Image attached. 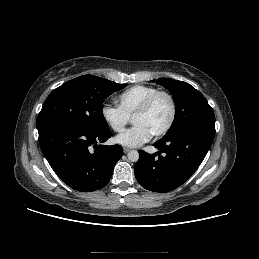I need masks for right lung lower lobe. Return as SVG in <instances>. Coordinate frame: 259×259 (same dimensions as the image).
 Wrapping results in <instances>:
<instances>
[{"mask_svg":"<svg viewBox=\"0 0 259 259\" xmlns=\"http://www.w3.org/2000/svg\"><path fill=\"white\" fill-rule=\"evenodd\" d=\"M38 133L41 150L51 168L64 183L77 191L91 192L103 188L123 155L120 145H97L111 137L109 129L95 131L57 124Z\"/></svg>","mask_w":259,"mask_h":259,"instance_id":"98d812e1","label":"right lung lower lobe"}]
</instances>
